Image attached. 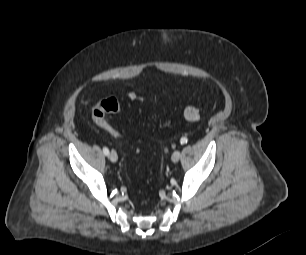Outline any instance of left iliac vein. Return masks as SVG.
Listing matches in <instances>:
<instances>
[{"mask_svg": "<svg viewBox=\"0 0 306 255\" xmlns=\"http://www.w3.org/2000/svg\"><path fill=\"white\" fill-rule=\"evenodd\" d=\"M180 157H181L180 151H175V152L172 154L171 160H172L173 163H176V162L179 161Z\"/></svg>", "mask_w": 306, "mask_h": 255, "instance_id": "1", "label": "left iliac vein"}]
</instances>
